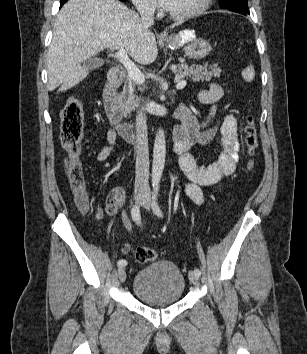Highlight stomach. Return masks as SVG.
<instances>
[{"label":"stomach","instance_id":"stomach-1","mask_svg":"<svg viewBox=\"0 0 307 354\" xmlns=\"http://www.w3.org/2000/svg\"><path fill=\"white\" fill-rule=\"evenodd\" d=\"M162 43L171 49L185 46V56L189 59L200 60L211 52V45L204 38H196L194 30H183L176 35L167 36Z\"/></svg>","mask_w":307,"mask_h":354}]
</instances>
